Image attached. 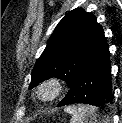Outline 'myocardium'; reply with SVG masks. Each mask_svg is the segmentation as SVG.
<instances>
[{
  "label": "myocardium",
  "mask_w": 122,
  "mask_h": 123,
  "mask_svg": "<svg viewBox=\"0 0 122 123\" xmlns=\"http://www.w3.org/2000/svg\"><path fill=\"white\" fill-rule=\"evenodd\" d=\"M46 89L51 90V94L48 96L43 95V91ZM65 90L66 85L62 79L58 77H49L40 83L37 95L41 101L50 103L58 100L64 94Z\"/></svg>",
  "instance_id": "f54148a6"
}]
</instances>
